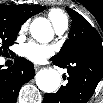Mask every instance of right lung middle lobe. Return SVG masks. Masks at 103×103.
<instances>
[{"instance_id": "1", "label": "right lung middle lobe", "mask_w": 103, "mask_h": 103, "mask_svg": "<svg viewBox=\"0 0 103 103\" xmlns=\"http://www.w3.org/2000/svg\"><path fill=\"white\" fill-rule=\"evenodd\" d=\"M21 26L11 24L0 18V56L7 53V50L14 44Z\"/></svg>"}]
</instances>
